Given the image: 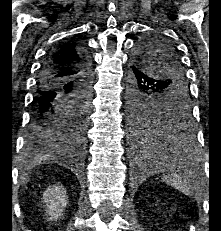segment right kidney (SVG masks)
<instances>
[{
    "mask_svg": "<svg viewBox=\"0 0 221 231\" xmlns=\"http://www.w3.org/2000/svg\"><path fill=\"white\" fill-rule=\"evenodd\" d=\"M43 202L46 203V219L53 221L59 219L68 204V196L62 185H53L43 193Z\"/></svg>",
    "mask_w": 221,
    "mask_h": 231,
    "instance_id": "1",
    "label": "right kidney"
}]
</instances>
